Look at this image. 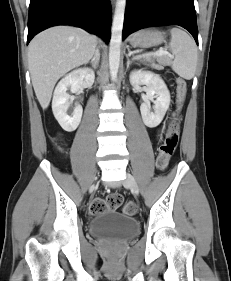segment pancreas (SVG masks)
Returning <instances> with one entry per match:
<instances>
[{
	"mask_svg": "<svg viewBox=\"0 0 231 281\" xmlns=\"http://www.w3.org/2000/svg\"><path fill=\"white\" fill-rule=\"evenodd\" d=\"M146 61L149 63L148 66H150L151 68H154L157 70H162V69H164V65L168 61V57L167 56H158L156 58H148ZM155 61H157V63Z\"/></svg>",
	"mask_w": 231,
	"mask_h": 281,
	"instance_id": "obj_1",
	"label": "pancreas"
}]
</instances>
